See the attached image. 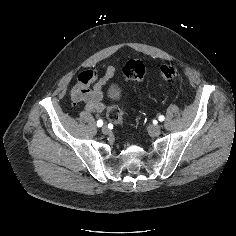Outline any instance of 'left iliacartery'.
I'll list each match as a JSON object with an SVG mask.
<instances>
[{"label":"left iliac artery","mask_w":236,"mask_h":236,"mask_svg":"<svg viewBox=\"0 0 236 236\" xmlns=\"http://www.w3.org/2000/svg\"><path fill=\"white\" fill-rule=\"evenodd\" d=\"M165 117L163 115L159 116V121H164Z\"/></svg>","instance_id":"1"}]
</instances>
